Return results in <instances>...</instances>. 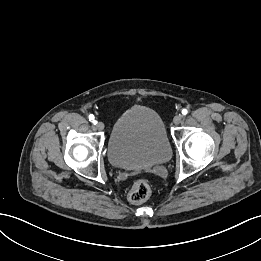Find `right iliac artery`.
Returning <instances> with one entry per match:
<instances>
[{"label": "right iliac artery", "mask_w": 261, "mask_h": 261, "mask_svg": "<svg viewBox=\"0 0 261 261\" xmlns=\"http://www.w3.org/2000/svg\"><path fill=\"white\" fill-rule=\"evenodd\" d=\"M89 120L92 121L94 123V125L97 123L93 114L89 115Z\"/></svg>", "instance_id": "obj_1"}]
</instances>
